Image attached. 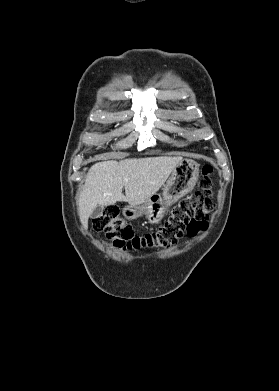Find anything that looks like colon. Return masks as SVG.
<instances>
[{"instance_id":"1","label":"colon","mask_w":279,"mask_h":391,"mask_svg":"<svg viewBox=\"0 0 279 391\" xmlns=\"http://www.w3.org/2000/svg\"><path fill=\"white\" fill-rule=\"evenodd\" d=\"M212 168L205 166L199 181L200 190L180 200L164 223L153 232L135 234L133 226L120 215L118 207H111L93 221L97 231L105 233L113 246L121 249L168 248L184 234L195 236L206 229L214 209L212 199Z\"/></svg>"}]
</instances>
